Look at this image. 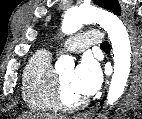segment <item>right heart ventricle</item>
<instances>
[{"label": "right heart ventricle", "mask_w": 142, "mask_h": 119, "mask_svg": "<svg viewBox=\"0 0 142 119\" xmlns=\"http://www.w3.org/2000/svg\"><path fill=\"white\" fill-rule=\"evenodd\" d=\"M56 73L51 54L46 50L37 51L23 71L22 95L26 104L40 111H54V82Z\"/></svg>", "instance_id": "1"}]
</instances>
